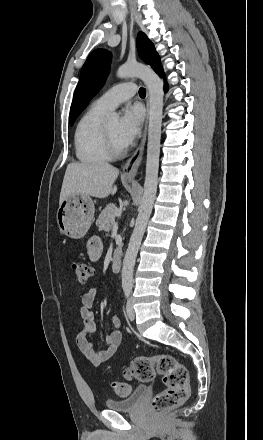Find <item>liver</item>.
<instances>
[{
	"mask_svg": "<svg viewBox=\"0 0 263 440\" xmlns=\"http://www.w3.org/2000/svg\"><path fill=\"white\" fill-rule=\"evenodd\" d=\"M118 175L119 170L107 162L70 163L65 171L59 202L76 194L96 198L114 195Z\"/></svg>",
	"mask_w": 263,
	"mask_h": 440,
	"instance_id": "1",
	"label": "liver"
}]
</instances>
